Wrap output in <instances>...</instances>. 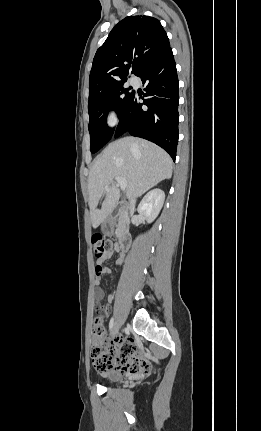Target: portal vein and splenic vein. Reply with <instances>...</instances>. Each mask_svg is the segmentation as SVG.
<instances>
[{
	"mask_svg": "<svg viewBox=\"0 0 261 431\" xmlns=\"http://www.w3.org/2000/svg\"><path fill=\"white\" fill-rule=\"evenodd\" d=\"M115 180L117 181L118 185L120 186V188L122 190H125L127 187V181L125 178L122 177H116ZM106 188H108V186H106Z\"/></svg>",
	"mask_w": 261,
	"mask_h": 431,
	"instance_id": "1",
	"label": "portal vein and splenic vein"
}]
</instances>
